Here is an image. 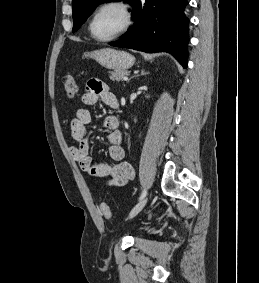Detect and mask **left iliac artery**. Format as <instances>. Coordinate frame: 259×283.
<instances>
[{
    "instance_id": "1",
    "label": "left iliac artery",
    "mask_w": 259,
    "mask_h": 283,
    "mask_svg": "<svg viewBox=\"0 0 259 283\" xmlns=\"http://www.w3.org/2000/svg\"><path fill=\"white\" fill-rule=\"evenodd\" d=\"M146 194H147V191H146V189H144V190L142 191L140 197H139V200L143 199V198L146 196Z\"/></svg>"
}]
</instances>
